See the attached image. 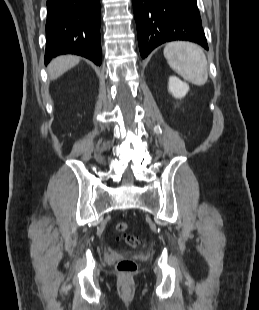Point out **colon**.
I'll return each mask as SVG.
<instances>
[{
	"label": "colon",
	"mask_w": 259,
	"mask_h": 310,
	"mask_svg": "<svg viewBox=\"0 0 259 310\" xmlns=\"http://www.w3.org/2000/svg\"><path fill=\"white\" fill-rule=\"evenodd\" d=\"M128 229V225L125 222H119L116 225L117 232L121 233L119 237L123 240L127 245L133 248H137L141 245L140 240L134 235L125 234L124 232ZM117 271L123 274H130L136 271L137 264L133 259L124 258L118 261L117 263Z\"/></svg>",
	"instance_id": "5ec220e1"
}]
</instances>
